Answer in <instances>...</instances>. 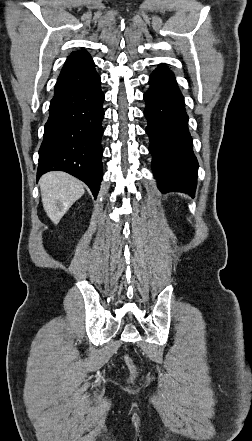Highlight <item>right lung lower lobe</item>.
<instances>
[{
	"instance_id": "right-lung-lower-lobe-1",
	"label": "right lung lower lobe",
	"mask_w": 252,
	"mask_h": 441,
	"mask_svg": "<svg viewBox=\"0 0 252 441\" xmlns=\"http://www.w3.org/2000/svg\"><path fill=\"white\" fill-rule=\"evenodd\" d=\"M93 60L61 73L39 149L37 178L60 170L82 180L96 198L103 177L104 94Z\"/></svg>"
}]
</instances>
